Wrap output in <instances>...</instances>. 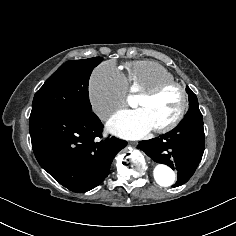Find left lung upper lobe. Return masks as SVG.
<instances>
[{"instance_id": "obj_1", "label": "left lung upper lobe", "mask_w": 236, "mask_h": 236, "mask_svg": "<svg viewBox=\"0 0 236 236\" xmlns=\"http://www.w3.org/2000/svg\"><path fill=\"white\" fill-rule=\"evenodd\" d=\"M186 91L189 96V110L184 116L183 119H188V118H202V114L199 110L198 107V100L196 95L192 92V90L187 86Z\"/></svg>"}]
</instances>
